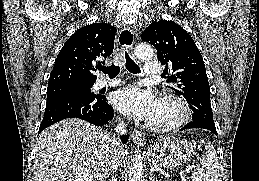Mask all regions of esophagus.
Returning a JSON list of instances; mask_svg holds the SVG:
<instances>
[{
    "mask_svg": "<svg viewBox=\"0 0 259 181\" xmlns=\"http://www.w3.org/2000/svg\"><path fill=\"white\" fill-rule=\"evenodd\" d=\"M135 42V34L130 27H124L118 34V44L121 49H132ZM131 140L137 146L145 144V136L140 131H132Z\"/></svg>",
    "mask_w": 259,
    "mask_h": 181,
    "instance_id": "1",
    "label": "esophagus"
}]
</instances>
